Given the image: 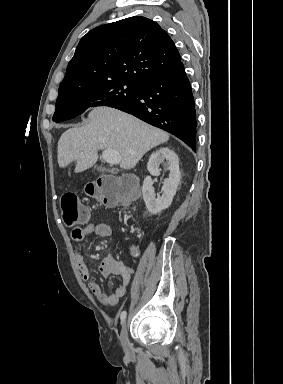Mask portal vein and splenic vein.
Listing matches in <instances>:
<instances>
[{
    "mask_svg": "<svg viewBox=\"0 0 283 384\" xmlns=\"http://www.w3.org/2000/svg\"><path fill=\"white\" fill-rule=\"evenodd\" d=\"M102 158L107 164H120L121 162V156L116 150H104Z\"/></svg>",
    "mask_w": 283,
    "mask_h": 384,
    "instance_id": "portal-vein-and-splenic-vein-1",
    "label": "portal vein and splenic vein"
}]
</instances>
